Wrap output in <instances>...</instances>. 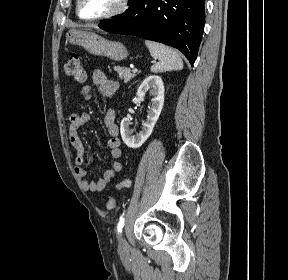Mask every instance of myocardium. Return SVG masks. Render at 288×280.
I'll return each mask as SVG.
<instances>
[{
  "instance_id": "myocardium-1",
  "label": "myocardium",
  "mask_w": 288,
  "mask_h": 280,
  "mask_svg": "<svg viewBox=\"0 0 288 280\" xmlns=\"http://www.w3.org/2000/svg\"><path fill=\"white\" fill-rule=\"evenodd\" d=\"M81 2L82 0H76V14L81 20L85 22H100V21L112 19L114 17H117L123 14L127 10L128 5H129V0H120L118 5L113 10L98 17L86 18L82 16L80 12Z\"/></svg>"
}]
</instances>
